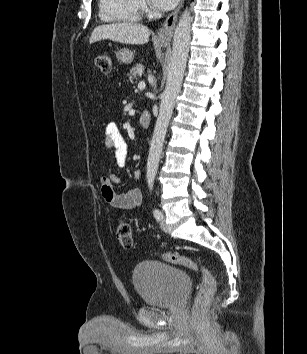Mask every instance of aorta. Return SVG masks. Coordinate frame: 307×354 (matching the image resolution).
Wrapping results in <instances>:
<instances>
[{
  "label": "aorta",
  "mask_w": 307,
  "mask_h": 354,
  "mask_svg": "<svg viewBox=\"0 0 307 354\" xmlns=\"http://www.w3.org/2000/svg\"><path fill=\"white\" fill-rule=\"evenodd\" d=\"M190 39L191 14L190 11L186 9L181 15L174 32L172 55L167 68L166 88L161 97L159 115L150 144L146 171V178L149 185L154 182L167 128L173 113L174 103L182 86Z\"/></svg>",
  "instance_id": "aorta-1"
}]
</instances>
